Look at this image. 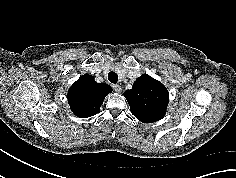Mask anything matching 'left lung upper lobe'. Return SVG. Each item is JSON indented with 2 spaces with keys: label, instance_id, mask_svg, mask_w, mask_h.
Returning a JSON list of instances; mask_svg holds the SVG:
<instances>
[{
  "label": "left lung upper lobe",
  "instance_id": "obj_1",
  "mask_svg": "<svg viewBox=\"0 0 236 178\" xmlns=\"http://www.w3.org/2000/svg\"><path fill=\"white\" fill-rule=\"evenodd\" d=\"M124 96L131 113L141 122L152 123L165 116L168 91L163 84L147 74H142Z\"/></svg>",
  "mask_w": 236,
  "mask_h": 178
}]
</instances>
